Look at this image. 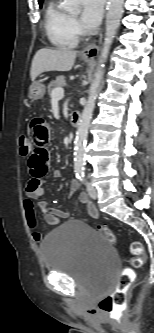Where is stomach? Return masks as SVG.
Returning a JSON list of instances; mask_svg holds the SVG:
<instances>
[{
  "label": "stomach",
  "instance_id": "stomach-1",
  "mask_svg": "<svg viewBox=\"0 0 154 333\" xmlns=\"http://www.w3.org/2000/svg\"><path fill=\"white\" fill-rule=\"evenodd\" d=\"M82 59L88 62L90 59L87 56H83ZM45 85L42 84L41 80L33 81L29 88V98L33 101L39 100L44 96Z\"/></svg>",
  "mask_w": 154,
  "mask_h": 333
}]
</instances>
